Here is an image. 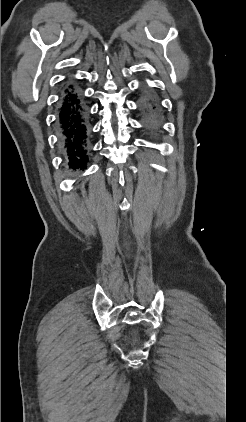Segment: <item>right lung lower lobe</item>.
Wrapping results in <instances>:
<instances>
[{
    "label": "right lung lower lobe",
    "instance_id": "right-lung-lower-lobe-1",
    "mask_svg": "<svg viewBox=\"0 0 246 422\" xmlns=\"http://www.w3.org/2000/svg\"><path fill=\"white\" fill-rule=\"evenodd\" d=\"M60 147L70 168L86 169L90 138L89 118L86 104L73 85L61 93L57 115Z\"/></svg>",
    "mask_w": 246,
    "mask_h": 422
}]
</instances>
